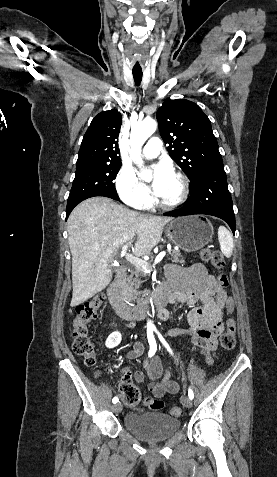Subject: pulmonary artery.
I'll return each mask as SVG.
<instances>
[{"label":"pulmonary artery","instance_id":"1","mask_svg":"<svg viewBox=\"0 0 277 477\" xmlns=\"http://www.w3.org/2000/svg\"><path fill=\"white\" fill-rule=\"evenodd\" d=\"M162 149V142L158 137H152L144 146L142 154L145 158H154L159 155Z\"/></svg>","mask_w":277,"mask_h":477}]
</instances>
